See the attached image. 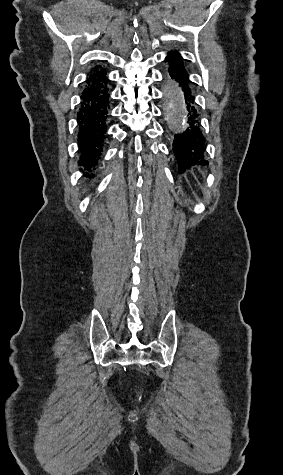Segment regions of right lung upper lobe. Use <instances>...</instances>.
Segmentation results:
<instances>
[{"label": "right lung upper lobe", "mask_w": 283, "mask_h": 475, "mask_svg": "<svg viewBox=\"0 0 283 475\" xmlns=\"http://www.w3.org/2000/svg\"><path fill=\"white\" fill-rule=\"evenodd\" d=\"M93 70H98V67H95Z\"/></svg>", "instance_id": "1"}]
</instances>
